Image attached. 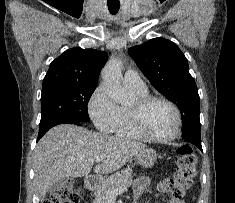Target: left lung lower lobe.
<instances>
[{
  "mask_svg": "<svg viewBox=\"0 0 235 203\" xmlns=\"http://www.w3.org/2000/svg\"><path fill=\"white\" fill-rule=\"evenodd\" d=\"M182 139L185 142H189L191 144H194L195 146H197L202 151L201 138H194L192 136L184 135V136H182Z\"/></svg>",
  "mask_w": 235,
  "mask_h": 203,
  "instance_id": "left-lung-lower-lobe-1",
  "label": "left lung lower lobe"
}]
</instances>
